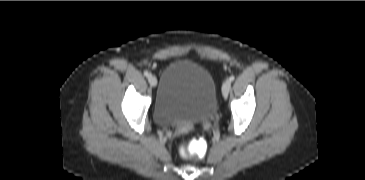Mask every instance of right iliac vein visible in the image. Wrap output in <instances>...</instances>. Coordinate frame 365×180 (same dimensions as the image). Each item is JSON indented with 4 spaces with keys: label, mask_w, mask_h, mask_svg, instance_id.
Instances as JSON below:
<instances>
[{
    "label": "right iliac vein",
    "mask_w": 365,
    "mask_h": 180,
    "mask_svg": "<svg viewBox=\"0 0 365 180\" xmlns=\"http://www.w3.org/2000/svg\"><path fill=\"white\" fill-rule=\"evenodd\" d=\"M148 82H149V84H150L152 87H156V85H157V79H156V77H155V76H153V75H149V76H148Z\"/></svg>",
    "instance_id": "obj_1"
}]
</instances>
